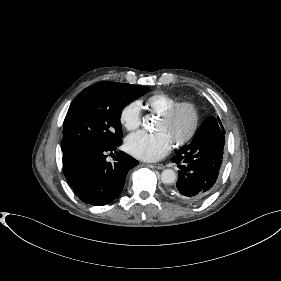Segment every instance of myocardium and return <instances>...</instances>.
<instances>
[{"label":"myocardium","mask_w":281,"mask_h":281,"mask_svg":"<svg viewBox=\"0 0 281 281\" xmlns=\"http://www.w3.org/2000/svg\"><path fill=\"white\" fill-rule=\"evenodd\" d=\"M181 110H188L191 114L192 121L188 132L184 136L173 142V145L175 147H182L194 138L200 123L199 109L197 105L192 101H181L177 102L175 105L159 115V119L164 122H168Z\"/></svg>","instance_id":"obj_1"}]
</instances>
